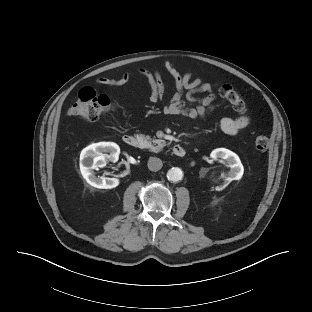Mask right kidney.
<instances>
[{"instance_id": "right-kidney-1", "label": "right kidney", "mask_w": 312, "mask_h": 312, "mask_svg": "<svg viewBox=\"0 0 312 312\" xmlns=\"http://www.w3.org/2000/svg\"><path fill=\"white\" fill-rule=\"evenodd\" d=\"M119 153V146L113 142L95 143L84 148L80 154V171L87 183L99 189L117 187L119 179L96 177L94 169L105 166L107 160L117 161Z\"/></svg>"}]
</instances>
